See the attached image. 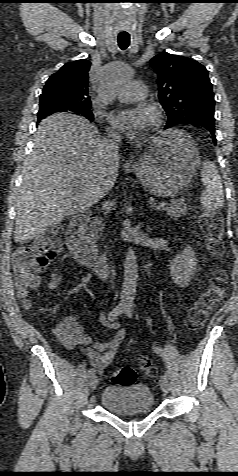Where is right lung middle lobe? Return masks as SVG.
Returning <instances> with one entry per match:
<instances>
[{
    "mask_svg": "<svg viewBox=\"0 0 238 476\" xmlns=\"http://www.w3.org/2000/svg\"><path fill=\"white\" fill-rule=\"evenodd\" d=\"M58 112H72L77 115H82L89 120H93V114L90 111V107L80 108L78 110L70 111L62 107L61 105L53 102H40L39 112H38V121L42 118Z\"/></svg>",
    "mask_w": 238,
    "mask_h": 476,
    "instance_id": "dd1d6c3e",
    "label": "right lung middle lobe"
}]
</instances>
